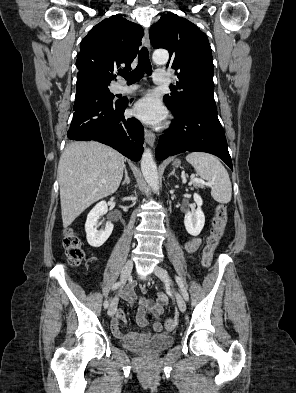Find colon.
I'll return each mask as SVG.
<instances>
[{
    "label": "colon",
    "mask_w": 296,
    "mask_h": 393,
    "mask_svg": "<svg viewBox=\"0 0 296 393\" xmlns=\"http://www.w3.org/2000/svg\"><path fill=\"white\" fill-rule=\"evenodd\" d=\"M226 224L227 208L223 204H218L215 208V216L212 222L210 235L202 253V264L205 267H209L211 265L213 253L224 235ZM63 246L65 248L66 256L71 263L79 264L82 261L84 251L82 249L81 240L71 229H67L64 233ZM144 317L147 321H152L154 315L147 312ZM175 326L176 323L174 320L168 319L165 321V327L167 330H173Z\"/></svg>",
    "instance_id": "5ec220e1"
}]
</instances>
